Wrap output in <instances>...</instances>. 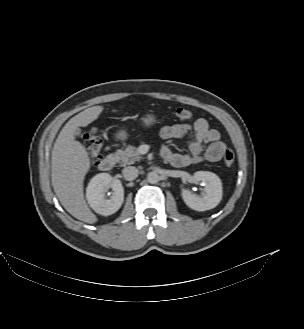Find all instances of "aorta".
<instances>
[{
  "mask_svg": "<svg viewBox=\"0 0 304 329\" xmlns=\"http://www.w3.org/2000/svg\"><path fill=\"white\" fill-rule=\"evenodd\" d=\"M147 180L151 184H156L160 180V176L156 172H149L147 175Z\"/></svg>",
  "mask_w": 304,
  "mask_h": 329,
  "instance_id": "762f6f07",
  "label": "aorta"
}]
</instances>
